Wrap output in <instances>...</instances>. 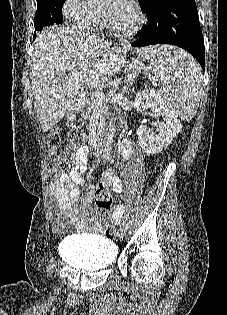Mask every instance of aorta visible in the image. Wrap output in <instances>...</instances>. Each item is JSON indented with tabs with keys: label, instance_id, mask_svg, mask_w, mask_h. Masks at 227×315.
I'll return each mask as SVG.
<instances>
[{
	"label": "aorta",
	"instance_id": "aorta-1",
	"mask_svg": "<svg viewBox=\"0 0 227 315\" xmlns=\"http://www.w3.org/2000/svg\"><path fill=\"white\" fill-rule=\"evenodd\" d=\"M89 5H98L105 2V0H87ZM116 132L115 123L110 122L108 132L105 137L104 158L109 159L112 151L113 138Z\"/></svg>",
	"mask_w": 227,
	"mask_h": 315
}]
</instances>
